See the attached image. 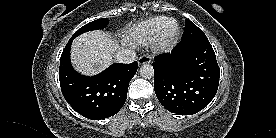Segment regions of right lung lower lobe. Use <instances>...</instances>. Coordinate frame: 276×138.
<instances>
[{"label": "right lung lower lobe", "mask_w": 276, "mask_h": 138, "mask_svg": "<svg viewBox=\"0 0 276 138\" xmlns=\"http://www.w3.org/2000/svg\"><path fill=\"white\" fill-rule=\"evenodd\" d=\"M72 40L68 41L60 59L59 80L65 100L88 119L115 115L127 99L129 82L137 72V62L114 63L98 75H81L70 62Z\"/></svg>", "instance_id": "1"}]
</instances>
